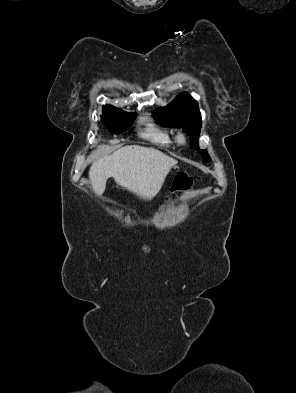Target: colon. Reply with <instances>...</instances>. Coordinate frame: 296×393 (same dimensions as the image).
<instances>
[{
	"instance_id": "5ec220e1",
	"label": "colon",
	"mask_w": 296,
	"mask_h": 393,
	"mask_svg": "<svg viewBox=\"0 0 296 393\" xmlns=\"http://www.w3.org/2000/svg\"><path fill=\"white\" fill-rule=\"evenodd\" d=\"M192 186V178L185 173L178 174L173 182L172 191L174 193L185 192Z\"/></svg>"
}]
</instances>
